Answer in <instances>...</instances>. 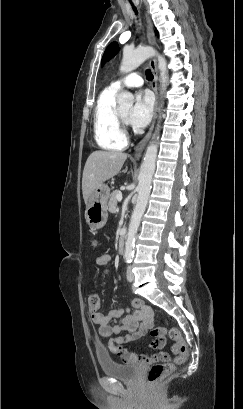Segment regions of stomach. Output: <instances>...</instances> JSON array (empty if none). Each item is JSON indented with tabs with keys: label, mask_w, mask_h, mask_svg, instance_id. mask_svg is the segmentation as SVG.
Returning <instances> with one entry per match:
<instances>
[{
	"label": "stomach",
	"mask_w": 243,
	"mask_h": 409,
	"mask_svg": "<svg viewBox=\"0 0 243 409\" xmlns=\"http://www.w3.org/2000/svg\"><path fill=\"white\" fill-rule=\"evenodd\" d=\"M110 197V189L106 184H102L92 194L85 210L87 224L94 230L102 228L108 218L107 202Z\"/></svg>",
	"instance_id": "1"
}]
</instances>
